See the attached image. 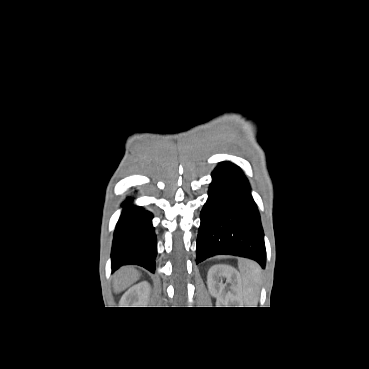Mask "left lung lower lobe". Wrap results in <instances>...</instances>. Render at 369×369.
Here are the masks:
<instances>
[{
	"mask_svg": "<svg viewBox=\"0 0 369 369\" xmlns=\"http://www.w3.org/2000/svg\"><path fill=\"white\" fill-rule=\"evenodd\" d=\"M209 198L201 211L196 263L230 254L266 261L264 233L248 180L239 167L220 163L212 173Z\"/></svg>",
	"mask_w": 369,
	"mask_h": 369,
	"instance_id": "0a47b994",
	"label": "left lung lower lobe"
}]
</instances>
